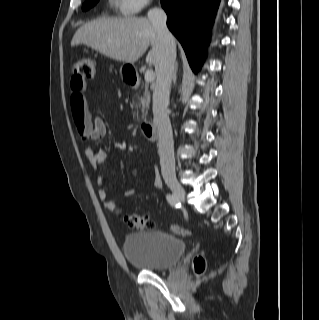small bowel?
Segmentation results:
<instances>
[{
    "label": "small bowel",
    "instance_id": "small-bowel-1",
    "mask_svg": "<svg viewBox=\"0 0 319 320\" xmlns=\"http://www.w3.org/2000/svg\"><path fill=\"white\" fill-rule=\"evenodd\" d=\"M87 89V84L85 82L78 81L77 78L73 77L71 79V108L72 113L83 114L88 120L92 127V135L94 139L102 137L106 133L105 121L100 117H92L89 110L88 104L85 99V91ZM84 155L93 169H97L106 159V153L104 151H97L92 146H87L84 149ZM97 182L101 185L98 190V198L103 203L104 207L108 210H113L115 204L109 199V193L106 188L103 187L104 180L102 177H97ZM154 186L156 188L162 187V181L160 177L154 176L153 178ZM136 194L135 189H129L124 192L126 198H131Z\"/></svg>",
    "mask_w": 319,
    "mask_h": 320
}]
</instances>
